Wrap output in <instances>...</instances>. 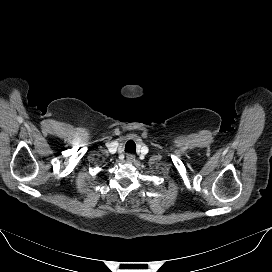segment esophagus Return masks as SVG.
Returning <instances> with one entry per match:
<instances>
[{
    "instance_id": "1",
    "label": "esophagus",
    "mask_w": 272,
    "mask_h": 272,
    "mask_svg": "<svg viewBox=\"0 0 272 272\" xmlns=\"http://www.w3.org/2000/svg\"><path fill=\"white\" fill-rule=\"evenodd\" d=\"M134 158H135V156H134V154H127V156H126V160H127V162H131V161H133L134 160Z\"/></svg>"
}]
</instances>
